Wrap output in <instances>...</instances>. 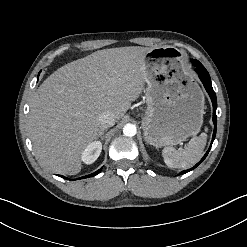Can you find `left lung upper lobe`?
Instances as JSON below:
<instances>
[{"label":"left lung upper lobe","instance_id":"1","mask_svg":"<svg viewBox=\"0 0 247 247\" xmlns=\"http://www.w3.org/2000/svg\"><path fill=\"white\" fill-rule=\"evenodd\" d=\"M191 61H192L193 63H194V62H198V60H196V59H192Z\"/></svg>","mask_w":247,"mask_h":247}]
</instances>
